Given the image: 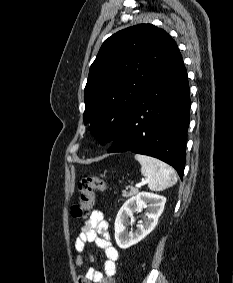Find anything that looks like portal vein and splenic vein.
Returning a JSON list of instances; mask_svg holds the SVG:
<instances>
[{"label":"portal vein and splenic vein","mask_w":233,"mask_h":283,"mask_svg":"<svg viewBox=\"0 0 233 283\" xmlns=\"http://www.w3.org/2000/svg\"><path fill=\"white\" fill-rule=\"evenodd\" d=\"M148 183V180H142V182L138 183L135 185L136 188H141V186L145 185Z\"/></svg>","instance_id":"18ae733b"}]
</instances>
